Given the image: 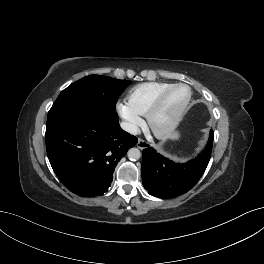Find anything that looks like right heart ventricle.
Instances as JSON below:
<instances>
[{"instance_id":"obj_1","label":"right heart ventricle","mask_w":264,"mask_h":264,"mask_svg":"<svg viewBox=\"0 0 264 264\" xmlns=\"http://www.w3.org/2000/svg\"><path fill=\"white\" fill-rule=\"evenodd\" d=\"M171 84L168 82H145L134 86L127 95L128 106L138 115H146L159 93Z\"/></svg>"}]
</instances>
